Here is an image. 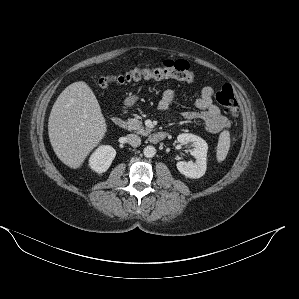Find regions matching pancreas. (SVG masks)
Returning a JSON list of instances; mask_svg holds the SVG:
<instances>
[{
    "label": "pancreas",
    "mask_w": 299,
    "mask_h": 299,
    "mask_svg": "<svg viewBox=\"0 0 299 299\" xmlns=\"http://www.w3.org/2000/svg\"><path fill=\"white\" fill-rule=\"evenodd\" d=\"M125 128L128 129L129 131L133 130L135 132H137L138 134L141 135H148L151 133V129L150 128H144L142 126V122L139 121L137 118H130L125 122Z\"/></svg>",
    "instance_id": "obj_1"
}]
</instances>
